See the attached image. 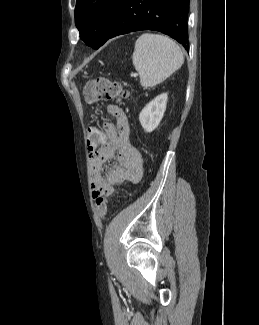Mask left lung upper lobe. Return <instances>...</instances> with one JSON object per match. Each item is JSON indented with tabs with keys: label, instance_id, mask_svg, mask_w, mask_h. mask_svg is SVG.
<instances>
[{
	"label": "left lung upper lobe",
	"instance_id": "left-lung-upper-lobe-1",
	"mask_svg": "<svg viewBox=\"0 0 259 325\" xmlns=\"http://www.w3.org/2000/svg\"><path fill=\"white\" fill-rule=\"evenodd\" d=\"M122 0H76L75 24L80 38L94 49L104 44Z\"/></svg>",
	"mask_w": 259,
	"mask_h": 325
}]
</instances>
